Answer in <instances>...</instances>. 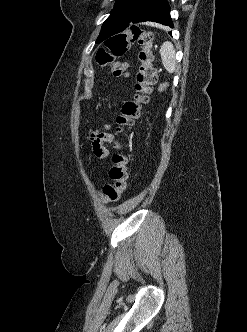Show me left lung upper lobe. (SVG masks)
<instances>
[{"label": "left lung upper lobe", "mask_w": 247, "mask_h": 332, "mask_svg": "<svg viewBox=\"0 0 247 332\" xmlns=\"http://www.w3.org/2000/svg\"><path fill=\"white\" fill-rule=\"evenodd\" d=\"M147 1L148 0H117L110 16L102 25L96 43H100L122 32L125 23L129 21Z\"/></svg>", "instance_id": "left-lung-upper-lobe-1"}]
</instances>
